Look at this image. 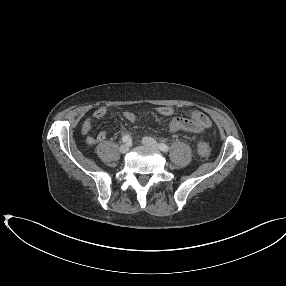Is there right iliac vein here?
I'll use <instances>...</instances> for the list:
<instances>
[{
    "instance_id": "1",
    "label": "right iliac vein",
    "mask_w": 286,
    "mask_h": 286,
    "mask_svg": "<svg viewBox=\"0 0 286 286\" xmlns=\"http://www.w3.org/2000/svg\"><path fill=\"white\" fill-rule=\"evenodd\" d=\"M119 150H120V152L122 154H125V153H127L129 151V145L128 144H123V145L120 146Z\"/></svg>"
}]
</instances>
